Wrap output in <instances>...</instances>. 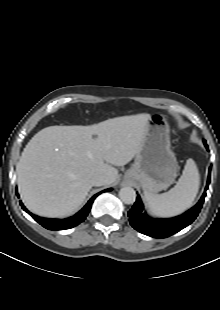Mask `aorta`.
Segmentation results:
<instances>
[{
  "label": "aorta",
  "mask_w": 220,
  "mask_h": 310,
  "mask_svg": "<svg viewBox=\"0 0 220 310\" xmlns=\"http://www.w3.org/2000/svg\"><path fill=\"white\" fill-rule=\"evenodd\" d=\"M119 197L125 204H133L136 200V192L131 187H123L119 191Z\"/></svg>",
  "instance_id": "762f6f07"
}]
</instances>
